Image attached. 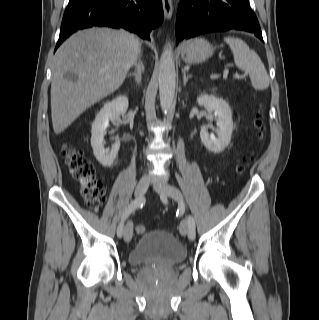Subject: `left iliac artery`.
Here are the masks:
<instances>
[{"instance_id":"left-iliac-artery-1","label":"left iliac artery","mask_w":319,"mask_h":320,"mask_svg":"<svg viewBox=\"0 0 319 320\" xmlns=\"http://www.w3.org/2000/svg\"><path fill=\"white\" fill-rule=\"evenodd\" d=\"M188 231H189V236L191 240H194L196 237V230H195V221L192 216H189L188 218Z\"/></svg>"}]
</instances>
